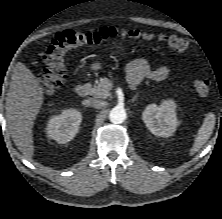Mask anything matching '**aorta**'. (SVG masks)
<instances>
[{
	"instance_id": "762f6f07",
	"label": "aorta",
	"mask_w": 222,
	"mask_h": 219,
	"mask_svg": "<svg viewBox=\"0 0 222 219\" xmlns=\"http://www.w3.org/2000/svg\"><path fill=\"white\" fill-rule=\"evenodd\" d=\"M126 111L121 106L114 107L109 114V119L114 124H121L126 120Z\"/></svg>"
}]
</instances>
